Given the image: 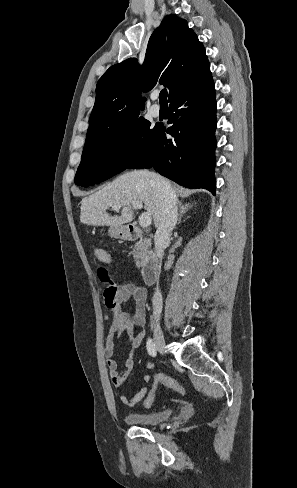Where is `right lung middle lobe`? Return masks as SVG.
Returning <instances> with one entry per match:
<instances>
[{
	"mask_svg": "<svg viewBox=\"0 0 297 488\" xmlns=\"http://www.w3.org/2000/svg\"><path fill=\"white\" fill-rule=\"evenodd\" d=\"M158 132L143 117L94 137H87L75 184L83 187L105 181L127 169Z\"/></svg>",
	"mask_w": 297,
	"mask_h": 488,
	"instance_id": "obj_1",
	"label": "right lung middle lobe"
}]
</instances>
